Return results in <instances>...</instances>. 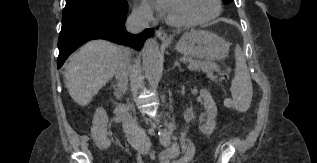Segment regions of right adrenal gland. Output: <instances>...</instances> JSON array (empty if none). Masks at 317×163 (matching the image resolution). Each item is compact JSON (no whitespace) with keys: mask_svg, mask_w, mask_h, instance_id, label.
<instances>
[{"mask_svg":"<svg viewBox=\"0 0 317 163\" xmlns=\"http://www.w3.org/2000/svg\"><path fill=\"white\" fill-rule=\"evenodd\" d=\"M112 88L114 89V95L117 96L118 85L112 82Z\"/></svg>","mask_w":317,"mask_h":163,"instance_id":"2a0ac1e0","label":"right adrenal gland"}]
</instances>
